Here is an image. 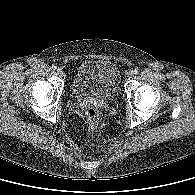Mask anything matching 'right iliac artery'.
Here are the masks:
<instances>
[{"label":"right iliac artery","instance_id":"1","mask_svg":"<svg viewBox=\"0 0 195 195\" xmlns=\"http://www.w3.org/2000/svg\"><path fill=\"white\" fill-rule=\"evenodd\" d=\"M56 68H57V67H56L55 65L52 66V69H53V70H56Z\"/></svg>","mask_w":195,"mask_h":195}]
</instances>
